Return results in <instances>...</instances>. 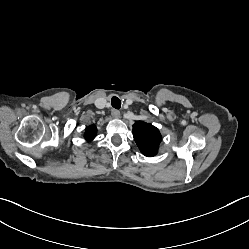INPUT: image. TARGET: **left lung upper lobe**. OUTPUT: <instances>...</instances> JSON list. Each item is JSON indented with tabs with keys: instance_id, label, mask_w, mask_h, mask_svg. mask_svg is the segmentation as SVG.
I'll list each match as a JSON object with an SVG mask.
<instances>
[{
	"instance_id": "left-lung-upper-lobe-1",
	"label": "left lung upper lobe",
	"mask_w": 249,
	"mask_h": 249,
	"mask_svg": "<svg viewBox=\"0 0 249 249\" xmlns=\"http://www.w3.org/2000/svg\"><path fill=\"white\" fill-rule=\"evenodd\" d=\"M133 136L142 154L148 157L157 154L162 137L155 126L137 121L133 125Z\"/></svg>"
}]
</instances>
